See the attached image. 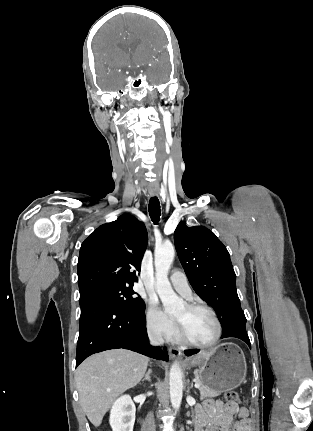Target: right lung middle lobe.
<instances>
[{
    "label": "right lung middle lobe",
    "mask_w": 313,
    "mask_h": 431,
    "mask_svg": "<svg viewBox=\"0 0 313 431\" xmlns=\"http://www.w3.org/2000/svg\"><path fill=\"white\" fill-rule=\"evenodd\" d=\"M135 294L137 293L133 290L132 285L106 287L89 296L80 298V307L90 301L102 300L121 305L130 311L144 310V301L140 297H135Z\"/></svg>",
    "instance_id": "dd1d6c3e"
}]
</instances>
